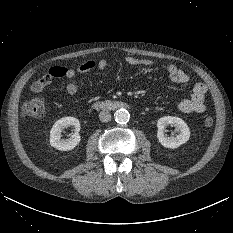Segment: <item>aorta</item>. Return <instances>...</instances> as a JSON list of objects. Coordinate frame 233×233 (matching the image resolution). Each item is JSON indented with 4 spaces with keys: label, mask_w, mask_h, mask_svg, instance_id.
I'll list each match as a JSON object with an SVG mask.
<instances>
[{
    "label": "aorta",
    "mask_w": 233,
    "mask_h": 233,
    "mask_svg": "<svg viewBox=\"0 0 233 233\" xmlns=\"http://www.w3.org/2000/svg\"><path fill=\"white\" fill-rule=\"evenodd\" d=\"M115 121L119 124H126L130 119V114L126 109H119L114 113Z\"/></svg>",
    "instance_id": "1"
}]
</instances>
